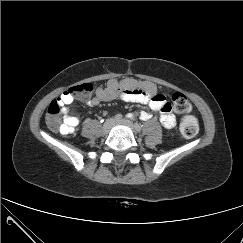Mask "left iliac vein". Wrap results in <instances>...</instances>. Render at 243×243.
<instances>
[{
  "label": "left iliac vein",
  "instance_id": "left-iliac-vein-1",
  "mask_svg": "<svg viewBox=\"0 0 243 243\" xmlns=\"http://www.w3.org/2000/svg\"><path fill=\"white\" fill-rule=\"evenodd\" d=\"M116 124L130 127L131 129H133L134 132L139 131L138 128L130 120H127V119L117 120Z\"/></svg>",
  "mask_w": 243,
  "mask_h": 243
}]
</instances>
